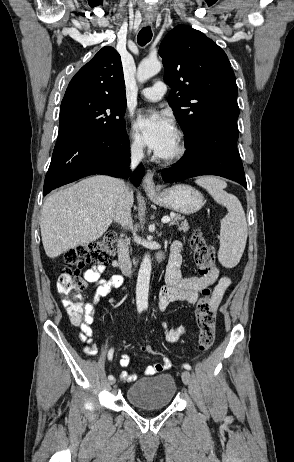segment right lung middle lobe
I'll list each match as a JSON object with an SVG mask.
<instances>
[{
    "mask_svg": "<svg viewBox=\"0 0 294 462\" xmlns=\"http://www.w3.org/2000/svg\"><path fill=\"white\" fill-rule=\"evenodd\" d=\"M126 99L80 96L62 100L58 140L125 129Z\"/></svg>",
    "mask_w": 294,
    "mask_h": 462,
    "instance_id": "right-lung-middle-lobe-1",
    "label": "right lung middle lobe"
}]
</instances>
